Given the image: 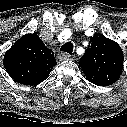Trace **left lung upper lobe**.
Segmentation results:
<instances>
[{
  "mask_svg": "<svg viewBox=\"0 0 127 127\" xmlns=\"http://www.w3.org/2000/svg\"><path fill=\"white\" fill-rule=\"evenodd\" d=\"M123 61V51L116 42L102 34H94L79 65L91 83L108 86L120 77Z\"/></svg>",
  "mask_w": 127,
  "mask_h": 127,
  "instance_id": "1",
  "label": "left lung upper lobe"
}]
</instances>
